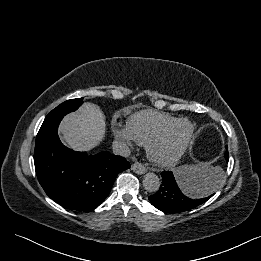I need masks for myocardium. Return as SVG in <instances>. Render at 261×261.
<instances>
[{
    "mask_svg": "<svg viewBox=\"0 0 261 261\" xmlns=\"http://www.w3.org/2000/svg\"><path fill=\"white\" fill-rule=\"evenodd\" d=\"M188 124L190 127L189 133L185 141L173 152L170 154H161L160 148L164 142L168 139L171 133L178 127L180 124ZM195 134V126L188 119H178L167 128H165L161 133H159L154 139H152L147 145V155L149 159L158 166L167 167L178 162L182 156L187 151L188 147L191 145Z\"/></svg>",
    "mask_w": 261,
    "mask_h": 261,
    "instance_id": "1",
    "label": "myocardium"
}]
</instances>
